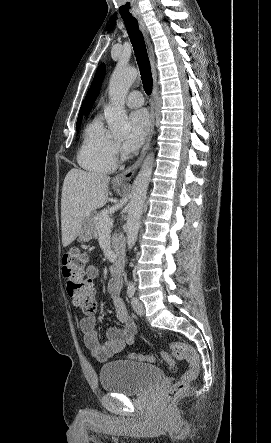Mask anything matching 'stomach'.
<instances>
[{
	"mask_svg": "<svg viewBox=\"0 0 271 443\" xmlns=\"http://www.w3.org/2000/svg\"><path fill=\"white\" fill-rule=\"evenodd\" d=\"M117 190H121V188H117ZM93 233L94 227L92 218H85L84 222H82L80 233H78L79 239H81V241H90L93 237Z\"/></svg>",
	"mask_w": 271,
	"mask_h": 443,
	"instance_id": "obj_1",
	"label": "stomach"
}]
</instances>
